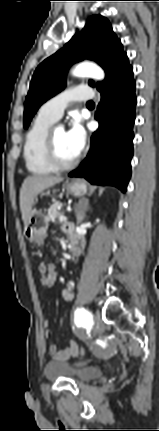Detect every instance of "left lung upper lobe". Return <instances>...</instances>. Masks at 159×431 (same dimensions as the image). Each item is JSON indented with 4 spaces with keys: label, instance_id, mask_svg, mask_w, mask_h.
<instances>
[{
    "label": "left lung upper lobe",
    "instance_id": "5c2ea615",
    "mask_svg": "<svg viewBox=\"0 0 159 431\" xmlns=\"http://www.w3.org/2000/svg\"><path fill=\"white\" fill-rule=\"evenodd\" d=\"M83 59L96 61L106 73L105 80L96 85L98 90L129 64L120 40L108 20L100 15L90 17L81 33L77 32L61 50L38 65L25 101L24 128L44 102L65 88L70 65ZM89 85L95 83L90 80Z\"/></svg>",
    "mask_w": 159,
    "mask_h": 431
}]
</instances>
